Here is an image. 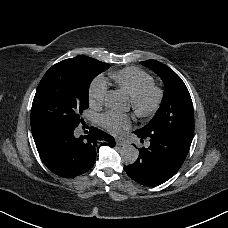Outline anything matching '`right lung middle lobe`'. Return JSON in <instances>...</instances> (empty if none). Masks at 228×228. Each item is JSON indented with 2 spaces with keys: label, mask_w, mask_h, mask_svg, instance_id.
I'll use <instances>...</instances> for the list:
<instances>
[{
  "label": "right lung middle lobe",
  "mask_w": 228,
  "mask_h": 228,
  "mask_svg": "<svg viewBox=\"0 0 228 228\" xmlns=\"http://www.w3.org/2000/svg\"><path fill=\"white\" fill-rule=\"evenodd\" d=\"M108 68L107 63L87 56L66 59L52 66L37 88L31 109V128L83 124L80 115L89 107L90 83Z\"/></svg>",
  "instance_id": "1"
}]
</instances>
